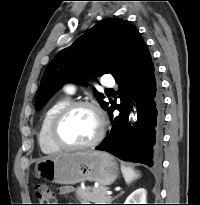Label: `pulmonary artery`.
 <instances>
[{
	"instance_id": "obj_1",
	"label": "pulmonary artery",
	"mask_w": 200,
	"mask_h": 205,
	"mask_svg": "<svg viewBox=\"0 0 200 205\" xmlns=\"http://www.w3.org/2000/svg\"><path fill=\"white\" fill-rule=\"evenodd\" d=\"M103 84L107 87H112L114 86L115 82L113 79L111 78H107L104 80ZM65 91L68 93V94H73L75 92V86L72 85V84H67L65 86Z\"/></svg>"
}]
</instances>
